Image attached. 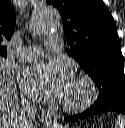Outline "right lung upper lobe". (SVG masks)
<instances>
[{
    "label": "right lung upper lobe",
    "instance_id": "obj_1",
    "mask_svg": "<svg viewBox=\"0 0 125 128\" xmlns=\"http://www.w3.org/2000/svg\"><path fill=\"white\" fill-rule=\"evenodd\" d=\"M15 25L16 14L10 0H0V57H7V48L1 42L12 37Z\"/></svg>",
    "mask_w": 125,
    "mask_h": 128
}]
</instances>
